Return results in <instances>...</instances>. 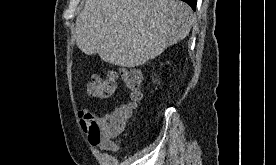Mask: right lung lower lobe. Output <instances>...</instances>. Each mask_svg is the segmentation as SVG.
Masks as SVG:
<instances>
[{"label":"right lung lower lobe","instance_id":"obj_1","mask_svg":"<svg viewBox=\"0 0 276 165\" xmlns=\"http://www.w3.org/2000/svg\"><path fill=\"white\" fill-rule=\"evenodd\" d=\"M182 1L186 2L187 4H189L192 7V9L195 11L196 1L197 0H182Z\"/></svg>","mask_w":276,"mask_h":165}]
</instances>
